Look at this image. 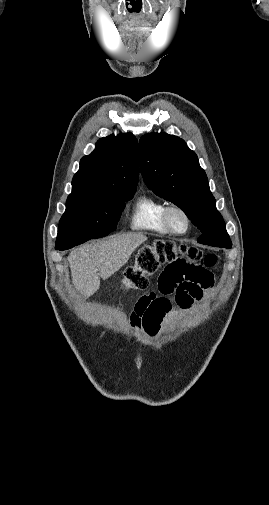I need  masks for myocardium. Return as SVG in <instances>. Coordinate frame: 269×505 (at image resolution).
<instances>
[{"label":"myocardium","mask_w":269,"mask_h":505,"mask_svg":"<svg viewBox=\"0 0 269 505\" xmlns=\"http://www.w3.org/2000/svg\"><path fill=\"white\" fill-rule=\"evenodd\" d=\"M173 212H179L184 216V218L186 219V222H187V227L185 230L179 231L173 227V225L171 223V214ZM162 219H163V223L166 226V228L169 230L170 233H172L174 235H185L190 231V229L192 227V220H191L189 213L183 207H181L179 205L166 206L163 211V214H162Z\"/></svg>","instance_id":"f54148a6"}]
</instances>
